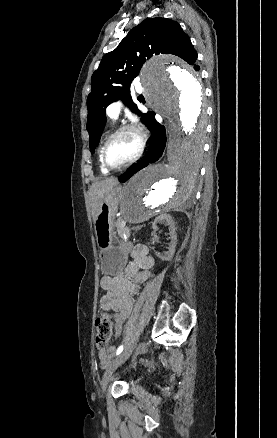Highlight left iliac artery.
I'll return each instance as SVG.
<instances>
[{
  "label": "left iliac artery",
  "mask_w": 277,
  "mask_h": 438,
  "mask_svg": "<svg viewBox=\"0 0 277 438\" xmlns=\"http://www.w3.org/2000/svg\"><path fill=\"white\" fill-rule=\"evenodd\" d=\"M122 351H123V345L118 347V349L116 351V355H119Z\"/></svg>",
  "instance_id": "1"
}]
</instances>
